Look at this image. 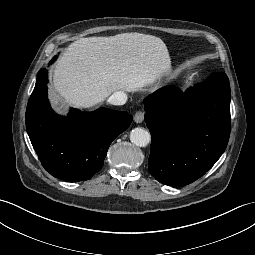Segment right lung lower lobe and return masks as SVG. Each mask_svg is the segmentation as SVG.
<instances>
[{
	"label": "right lung lower lobe",
	"instance_id": "1",
	"mask_svg": "<svg viewBox=\"0 0 255 255\" xmlns=\"http://www.w3.org/2000/svg\"><path fill=\"white\" fill-rule=\"evenodd\" d=\"M47 75L46 69H40L28 101L30 141L52 176L67 182L89 180L102 168L110 144L130 126L133 117L105 108L90 113L71 109L67 117L59 116L48 102Z\"/></svg>",
	"mask_w": 255,
	"mask_h": 255
}]
</instances>
